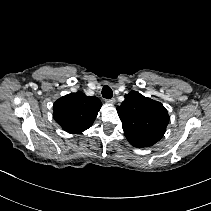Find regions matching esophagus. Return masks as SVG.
<instances>
[{
	"instance_id": "esophagus-1",
	"label": "esophagus",
	"mask_w": 211,
	"mask_h": 211,
	"mask_svg": "<svg viewBox=\"0 0 211 211\" xmlns=\"http://www.w3.org/2000/svg\"><path fill=\"white\" fill-rule=\"evenodd\" d=\"M105 101H106V103L111 104V105L115 104V102H116V100L114 98L105 99Z\"/></svg>"
}]
</instances>
